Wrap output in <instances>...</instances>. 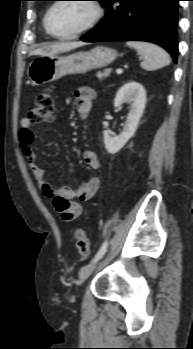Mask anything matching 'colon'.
<instances>
[{
    "label": "colon",
    "mask_w": 193,
    "mask_h": 349,
    "mask_svg": "<svg viewBox=\"0 0 193 349\" xmlns=\"http://www.w3.org/2000/svg\"><path fill=\"white\" fill-rule=\"evenodd\" d=\"M55 117V102L50 91L40 93L34 100L28 114L31 123L50 122ZM75 248L78 254L84 258L90 255V243L83 229L74 231Z\"/></svg>",
    "instance_id": "1"
}]
</instances>
